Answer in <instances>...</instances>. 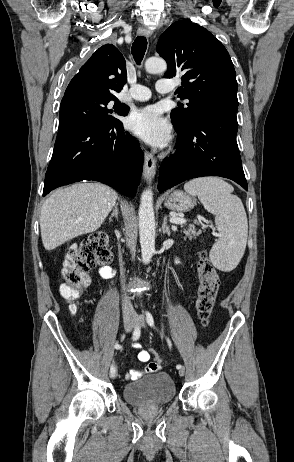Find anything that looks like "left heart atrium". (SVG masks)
I'll return each mask as SVG.
<instances>
[{"label": "left heart atrium", "mask_w": 294, "mask_h": 462, "mask_svg": "<svg viewBox=\"0 0 294 462\" xmlns=\"http://www.w3.org/2000/svg\"><path fill=\"white\" fill-rule=\"evenodd\" d=\"M129 129L146 143L163 147L171 139V126L156 106H146L133 112L128 119Z\"/></svg>", "instance_id": "left-heart-atrium-1"}]
</instances>
